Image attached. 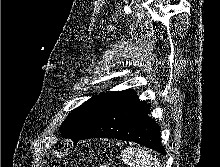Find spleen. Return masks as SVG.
Returning a JSON list of instances; mask_svg holds the SVG:
<instances>
[{
    "mask_svg": "<svg viewBox=\"0 0 220 167\" xmlns=\"http://www.w3.org/2000/svg\"><path fill=\"white\" fill-rule=\"evenodd\" d=\"M121 158L124 163L131 167H162L156 156L135 147H127L122 150Z\"/></svg>",
    "mask_w": 220,
    "mask_h": 167,
    "instance_id": "3e777b00",
    "label": "spleen"
}]
</instances>
